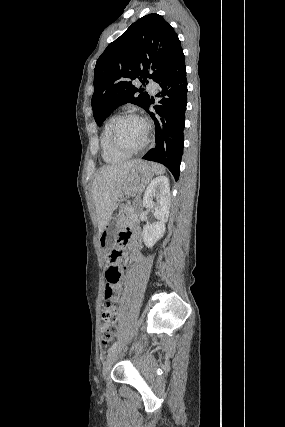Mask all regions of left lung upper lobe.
<instances>
[{
	"mask_svg": "<svg viewBox=\"0 0 285 427\" xmlns=\"http://www.w3.org/2000/svg\"><path fill=\"white\" fill-rule=\"evenodd\" d=\"M181 51L178 35L162 16L153 13L133 23L96 62L91 100L96 123L100 126L127 102L146 109L150 96L131 80L138 78L145 83L150 78L156 82Z\"/></svg>",
	"mask_w": 285,
	"mask_h": 427,
	"instance_id": "left-lung-upper-lobe-1",
	"label": "left lung upper lobe"
}]
</instances>
